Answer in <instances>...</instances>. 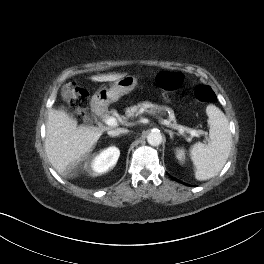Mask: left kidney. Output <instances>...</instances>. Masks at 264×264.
<instances>
[{"label": "left kidney", "instance_id": "5707ae66", "mask_svg": "<svg viewBox=\"0 0 264 264\" xmlns=\"http://www.w3.org/2000/svg\"><path fill=\"white\" fill-rule=\"evenodd\" d=\"M177 158L180 161H183V159H184V151L182 149L177 150Z\"/></svg>", "mask_w": 264, "mask_h": 264}]
</instances>
